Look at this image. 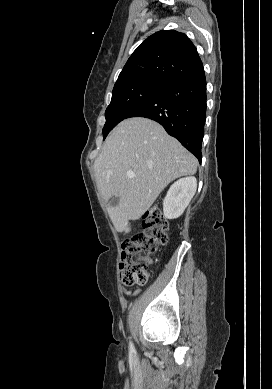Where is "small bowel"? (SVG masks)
<instances>
[{"mask_svg":"<svg viewBox=\"0 0 272 389\" xmlns=\"http://www.w3.org/2000/svg\"><path fill=\"white\" fill-rule=\"evenodd\" d=\"M148 263H150V260L148 259ZM138 293V291H135L134 294Z\"/></svg>","mask_w":272,"mask_h":389,"instance_id":"small-bowel-1","label":"small bowel"}]
</instances>
